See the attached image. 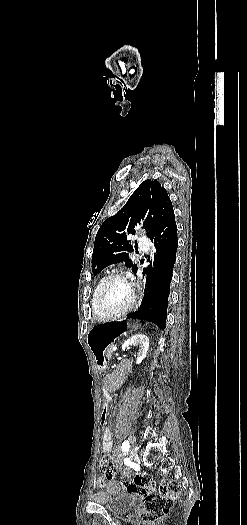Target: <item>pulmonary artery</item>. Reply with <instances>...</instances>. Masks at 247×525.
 <instances>
[{
    "instance_id": "e3ab8cb5",
    "label": "pulmonary artery",
    "mask_w": 247,
    "mask_h": 525,
    "mask_svg": "<svg viewBox=\"0 0 247 525\" xmlns=\"http://www.w3.org/2000/svg\"><path fill=\"white\" fill-rule=\"evenodd\" d=\"M138 241H139L140 249L143 252L148 253L150 251V245H149V239L147 238V236H139Z\"/></svg>"
}]
</instances>
